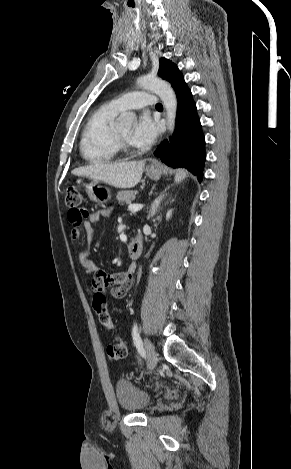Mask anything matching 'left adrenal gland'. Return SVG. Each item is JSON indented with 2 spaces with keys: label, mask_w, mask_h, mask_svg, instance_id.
I'll return each mask as SVG.
<instances>
[{
  "label": "left adrenal gland",
  "mask_w": 291,
  "mask_h": 469,
  "mask_svg": "<svg viewBox=\"0 0 291 469\" xmlns=\"http://www.w3.org/2000/svg\"><path fill=\"white\" fill-rule=\"evenodd\" d=\"M165 196H167V193H163V194H160L156 199L155 201L153 202L152 204V207H151V210H150V217H153L156 212L158 211V209H160V204L162 202V200L165 198ZM174 201L171 200L170 203H172Z\"/></svg>",
  "instance_id": "a2214340"
}]
</instances>
